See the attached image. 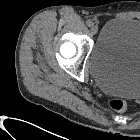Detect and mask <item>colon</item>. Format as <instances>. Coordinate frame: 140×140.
I'll list each match as a JSON object with an SVG mask.
<instances>
[{"label":"colon","mask_w":140,"mask_h":140,"mask_svg":"<svg viewBox=\"0 0 140 140\" xmlns=\"http://www.w3.org/2000/svg\"><path fill=\"white\" fill-rule=\"evenodd\" d=\"M109 106L117 112H124L127 109V102L120 98H113L109 101Z\"/></svg>","instance_id":"1"}]
</instances>
